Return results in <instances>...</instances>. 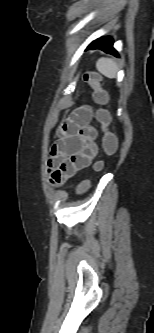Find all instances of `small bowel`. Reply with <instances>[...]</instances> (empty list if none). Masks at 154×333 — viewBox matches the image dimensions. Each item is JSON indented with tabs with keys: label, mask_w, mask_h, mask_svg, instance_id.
I'll return each instance as SVG.
<instances>
[{
	"label": "small bowel",
	"mask_w": 154,
	"mask_h": 333,
	"mask_svg": "<svg viewBox=\"0 0 154 333\" xmlns=\"http://www.w3.org/2000/svg\"><path fill=\"white\" fill-rule=\"evenodd\" d=\"M93 110L89 106L77 108L58 131L48 161L50 182L64 184L77 172L89 167L98 154V132L91 125Z\"/></svg>",
	"instance_id": "c3829d8e"
}]
</instances>
